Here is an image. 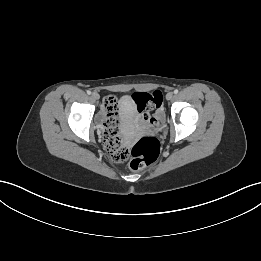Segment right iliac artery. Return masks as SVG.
I'll return each instance as SVG.
<instances>
[{
  "mask_svg": "<svg viewBox=\"0 0 261 261\" xmlns=\"http://www.w3.org/2000/svg\"><path fill=\"white\" fill-rule=\"evenodd\" d=\"M87 94L90 95V94H91V91L88 90V91H87Z\"/></svg>",
  "mask_w": 261,
  "mask_h": 261,
  "instance_id": "right-iliac-artery-1",
  "label": "right iliac artery"
}]
</instances>
